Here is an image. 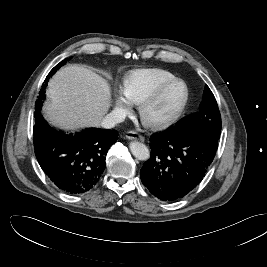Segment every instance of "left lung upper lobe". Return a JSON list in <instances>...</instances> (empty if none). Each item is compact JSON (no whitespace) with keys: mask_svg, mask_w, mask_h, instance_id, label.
<instances>
[{"mask_svg":"<svg viewBox=\"0 0 267 267\" xmlns=\"http://www.w3.org/2000/svg\"><path fill=\"white\" fill-rule=\"evenodd\" d=\"M197 127L204 130L212 139L219 140L221 133V116L216 99L206 85L199 112L181 120L174 128Z\"/></svg>","mask_w":267,"mask_h":267,"instance_id":"5c2ea615","label":"left lung upper lobe"}]
</instances>
